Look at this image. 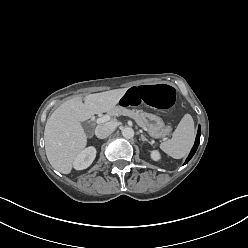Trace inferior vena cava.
Masks as SVG:
<instances>
[{
    "mask_svg": "<svg viewBox=\"0 0 248 248\" xmlns=\"http://www.w3.org/2000/svg\"><path fill=\"white\" fill-rule=\"evenodd\" d=\"M115 126L112 123H105L98 125L95 129V135L97 138L104 139L108 137L114 131Z\"/></svg>",
    "mask_w": 248,
    "mask_h": 248,
    "instance_id": "obj_1",
    "label": "inferior vena cava"
}]
</instances>
